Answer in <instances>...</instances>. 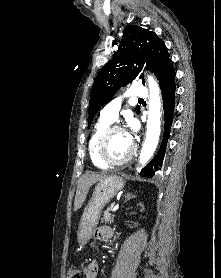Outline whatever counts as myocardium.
<instances>
[{"mask_svg":"<svg viewBox=\"0 0 221 278\" xmlns=\"http://www.w3.org/2000/svg\"><path fill=\"white\" fill-rule=\"evenodd\" d=\"M115 131H124V128L121 127L120 125L114 124V125H110L109 127H107L105 129V131L102 133V135L99 138L98 141V145H97V154L99 159L107 166L110 167H116V166H122L125 165L126 163L130 162L135 154H136V145L134 143H132V149L130 151V153L122 160L119 161H114L111 160L108 156H107V145H108V141L110 136L112 135L113 132Z\"/></svg>","mask_w":221,"mask_h":278,"instance_id":"obj_1","label":"myocardium"}]
</instances>
